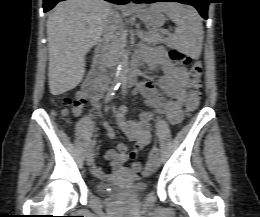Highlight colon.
I'll use <instances>...</instances> for the list:
<instances>
[{
    "mask_svg": "<svg viewBox=\"0 0 260 217\" xmlns=\"http://www.w3.org/2000/svg\"><path fill=\"white\" fill-rule=\"evenodd\" d=\"M170 58L172 61H174L178 65H187L189 63L192 64L190 73L192 77V83H191V92L189 99L187 100L186 103V111L188 114L194 112L198 106H199V101H200V87H201V77H202V64L197 58H193L181 51L178 50H172L170 51ZM61 104L63 107L60 109L59 114L61 116H66L67 115V109L66 107L71 104V99L69 97H64L61 100ZM133 169L141 173L144 170L143 164L140 162H135L133 164Z\"/></svg>",
    "mask_w": 260,
    "mask_h": 217,
    "instance_id": "obj_1",
    "label": "colon"
}]
</instances>
